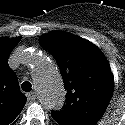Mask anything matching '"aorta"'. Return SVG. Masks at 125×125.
<instances>
[{
    "label": "aorta",
    "instance_id": "obj_1",
    "mask_svg": "<svg viewBox=\"0 0 125 125\" xmlns=\"http://www.w3.org/2000/svg\"><path fill=\"white\" fill-rule=\"evenodd\" d=\"M27 62L33 66L34 83L41 105L48 110L62 108L65 90L55 63L36 53H28Z\"/></svg>",
    "mask_w": 125,
    "mask_h": 125
}]
</instances>
